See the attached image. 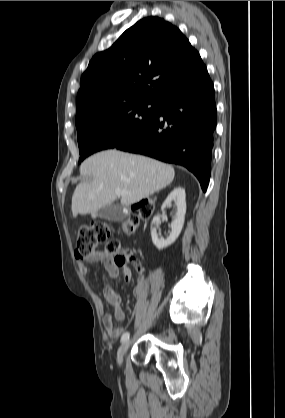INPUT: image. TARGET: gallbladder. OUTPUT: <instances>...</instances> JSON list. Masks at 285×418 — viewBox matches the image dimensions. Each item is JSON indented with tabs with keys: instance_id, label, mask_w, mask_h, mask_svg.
I'll return each mask as SVG.
<instances>
[{
	"instance_id": "gallbladder-1",
	"label": "gallbladder",
	"mask_w": 285,
	"mask_h": 418,
	"mask_svg": "<svg viewBox=\"0 0 285 418\" xmlns=\"http://www.w3.org/2000/svg\"><path fill=\"white\" fill-rule=\"evenodd\" d=\"M92 217H100L109 221H117L124 217L123 205L117 203L108 204L98 210L91 212Z\"/></svg>"
}]
</instances>
